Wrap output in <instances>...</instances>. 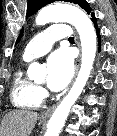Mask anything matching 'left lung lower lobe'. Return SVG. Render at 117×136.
Returning <instances> with one entry per match:
<instances>
[{"mask_svg": "<svg viewBox=\"0 0 117 136\" xmlns=\"http://www.w3.org/2000/svg\"><path fill=\"white\" fill-rule=\"evenodd\" d=\"M90 15H91V20L94 23V27L96 29V33H97V37H98V41H99L98 51H100L101 50V47H100V42H101L100 28L98 27L97 19L95 18L94 13H91Z\"/></svg>", "mask_w": 117, "mask_h": 136, "instance_id": "1", "label": "left lung lower lobe"}]
</instances>
